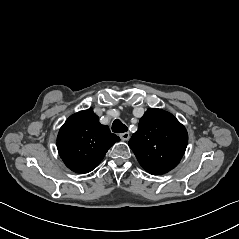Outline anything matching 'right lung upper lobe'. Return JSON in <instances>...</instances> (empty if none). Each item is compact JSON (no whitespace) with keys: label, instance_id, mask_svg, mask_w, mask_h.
Wrapping results in <instances>:
<instances>
[{"label":"right lung upper lobe","instance_id":"right-lung-upper-lobe-1","mask_svg":"<svg viewBox=\"0 0 239 239\" xmlns=\"http://www.w3.org/2000/svg\"><path fill=\"white\" fill-rule=\"evenodd\" d=\"M120 138L99 122L90 108L70 116L60 128L57 148L65 165L76 173L92 171Z\"/></svg>","mask_w":239,"mask_h":239}]
</instances>
